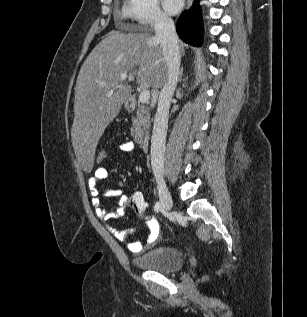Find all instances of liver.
<instances>
[{
    "instance_id": "6515ba94",
    "label": "liver",
    "mask_w": 307,
    "mask_h": 317,
    "mask_svg": "<svg viewBox=\"0 0 307 317\" xmlns=\"http://www.w3.org/2000/svg\"><path fill=\"white\" fill-rule=\"evenodd\" d=\"M166 68L162 47L150 31H112L89 54L76 81L71 129L74 153L86 175L100 137L131 95V86L119 83L120 74L129 73V81L135 78L142 88L158 89L166 83Z\"/></svg>"
}]
</instances>
